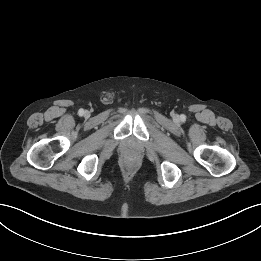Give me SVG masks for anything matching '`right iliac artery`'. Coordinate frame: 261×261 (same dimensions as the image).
Returning <instances> with one entry per match:
<instances>
[{"mask_svg":"<svg viewBox=\"0 0 261 261\" xmlns=\"http://www.w3.org/2000/svg\"><path fill=\"white\" fill-rule=\"evenodd\" d=\"M78 114H79L80 116H82V115L84 114V110H83V109H80V110L78 111Z\"/></svg>","mask_w":261,"mask_h":261,"instance_id":"right-iliac-artery-1","label":"right iliac artery"}]
</instances>
